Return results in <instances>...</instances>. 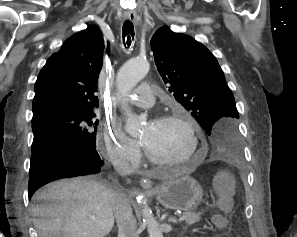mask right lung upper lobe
<instances>
[{
  "instance_id": "obj_1",
  "label": "right lung upper lobe",
  "mask_w": 297,
  "mask_h": 237,
  "mask_svg": "<svg viewBox=\"0 0 297 237\" xmlns=\"http://www.w3.org/2000/svg\"><path fill=\"white\" fill-rule=\"evenodd\" d=\"M104 41L94 26L73 35L47 60L35 83L32 121L55 112H93ZM109 53V47H107Z\"/></svg>"
}]
</instances>
